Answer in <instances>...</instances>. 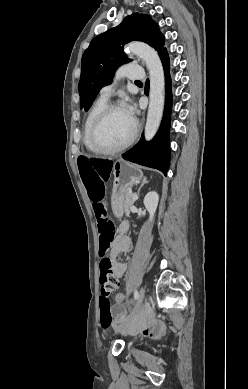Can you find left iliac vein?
<instances>
[{"instance_id":"1","label":"left iliac vein","mask_w":248,"mask_h":389,"mask_svg":"<svg viewBox=\"0 0 248 389\" xmlns=\"http://www.w3.org/2000/svg\"><path fill=\"white\" fill-rule=\"evenodd\" d=\"M138 299L136 301V305L134 307V310L132 311V313L130 314L129 317H127L119 326H118V329L117 330H120L121 328L124 327L125 324H127L133 317L134 315L137 313V311L140 309L142 303H143V300H144V297H145V288L144 287H141L140 290H139V293H138Z\"/></svg>"}]
</instances>
